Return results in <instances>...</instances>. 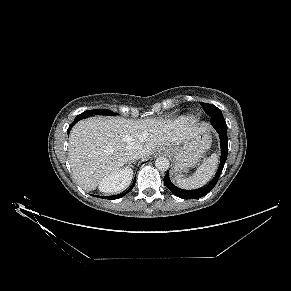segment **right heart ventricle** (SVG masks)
<instances>
[{
    "label": "right heart ventricle",
    "instance_id": "obj_1",
    "mask_svg": "<svg viewBox=\"0 0 291 291\" xmlns=\"http://www.w3.org/2000/svg\"><path fill=\"white\" fill-rule=\"evenodd\" d=\"M189 120H195V117H188Z\"/></svg>",
    "mask_w": 291,
    "mask_h": 291
}]
</instances>
